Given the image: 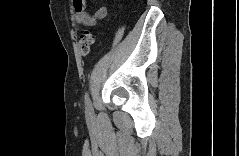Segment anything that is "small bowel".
I'll use <instances>...</instances> for the list:
<instances>
[{
	"mask_svg": "<svg viewBox=\"0 0 239 156\" xmlns=\"http://www.w3.org/2000/svg\"><path fill=\"white\" fill-rule=\"evenodd\" d=\"M74 8L76 22L87 27H95L98 21L104 19L108 14L106 6H100L94 13H90L87 10L86 0H74Z\"/></svg>",
	"mask_w": 239,
	"mask_h": 156,
	"instance_id": "1",
	"label": "small bowel"
}]
</instances>
